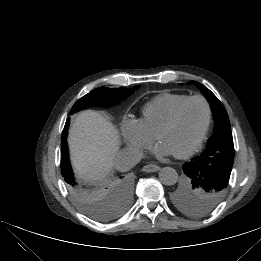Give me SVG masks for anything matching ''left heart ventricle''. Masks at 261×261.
<instances>
[{
  "label": "left heart ventricle",
  "instance_id": "obj_1",
  "mask_svg": "<svg viewBox=\"0 0 261 261\" xmlns=\"http://www.w3.org/2000/svg\"><path fill=\"white\" fill-rule=\"evenodd\" d=\"M206 120V109L202 102L192 101L181 111L176 123L160 137L174 153L190 147L199 137Z\"/></svg>",
  "mask_w": 261,
  "mask_h": 261
}]
</instances>
